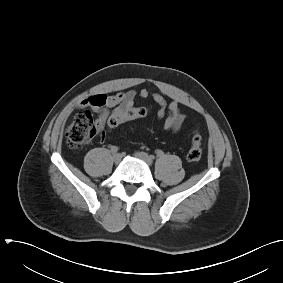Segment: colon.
I'll return each instance as SVG.
<instances>
[{"instance_id":"5ec220e1","label":"colon","mask_w":283,"mask_h":283,"mask_svg":"<svg viewBox=\"0 0 283 283\" xmlns=\"http://www.w3.org/2000/svg\"><path fill=\"white\" fill-rule=\"evenodd\" d=\"M148 113L149 111L145 107H132L111 115L106 122V126L108 129H115L127 120L142 118L147 116ZM97 131L96 120L93 119L91 113L88 111L79 112L66 129L67 144L73 149L82 148L92 141ZM201 157V135L195 132L191 138L187 159L189 161H198Z\"/></svg>"}]
</instances>
